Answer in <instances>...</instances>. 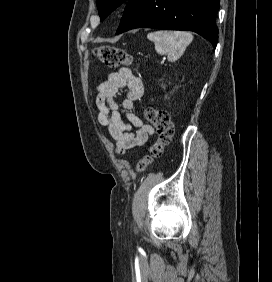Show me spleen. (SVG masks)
I'll return each instance as SVG.
<instances>
[{"instance_id": "3e777b00", "label": "spleen", "mask_w": 272, "mask_h": 282, "mask_svg": "<svg viewBox=\"0 0 272 282\" xmlns=\"http://www.w3.org/2000/svg\"><path fill=\"white\" fill-rule=\"evenodd\" d=\"M147 38L154 42L156 52L167 54L171 62L179 59L193 40L192 34L181 31H155L149 33Z\"/></svg>"}]
</instances>
